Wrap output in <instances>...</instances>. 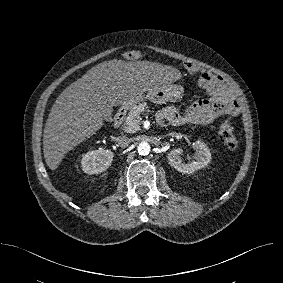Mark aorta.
<instances>
[{
	"mask_svg": "<svg viewBox=\"0 0 283 283\" xmlns=\"http://www.w3.org/2000/svg\"><path fill=\"white\" fill-rule=\"evenodd\" d=\"M137 150L140 155H148L150 152V145L145 141L140 142L137 147Z\"/></svg>",
	"mask_w": 283,
	"mask_h": 283,
	"instance_id": "obj_1",
	"label": "aorta"
}]
</instances>
